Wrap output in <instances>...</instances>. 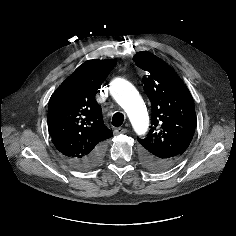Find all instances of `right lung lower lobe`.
<instances>
[{
	"label": "right lung lower lobe",
	"instance_id": "98d812e1",
	"mask_svg": "<svg viewBox=\"0 0 236 236\" xmlns=\"http://www.w3.org/2000/svg\"><path fill=\"white\" fill-rule=\"evenodd\" d=\"M106 150L105 142L99 144L91 153L81 158H66L74 168L90 170L97 167L103 160Z\"/></svg>",
	"mask_w": 236,
	"mask_h": 236
}]
</instances>
